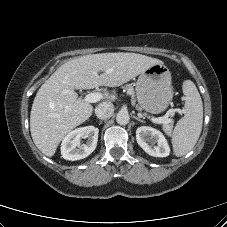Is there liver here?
Listing matches in <instances>:
<instances>
[{
	"label": "liver",
	"instance_id": "obj_1",
	"mask_svg": "<svg viewBox=\"0 0 227 227\" xmlns=\"http://www.w3.org/2000/svg\"><path fill=\"white\" fill-rule=\"evenodd\" d=\"M161 63L123 52L90 54L64 63L39 88L33 101L30 131L36 147L52 157L64 136L92 115V104L79 99L74 89L118 87Z\"/></svg>",
	"mask_w": 227,
	"mask_h": 227
}]
</instances>
